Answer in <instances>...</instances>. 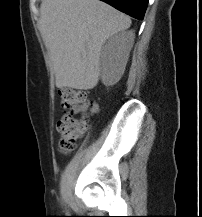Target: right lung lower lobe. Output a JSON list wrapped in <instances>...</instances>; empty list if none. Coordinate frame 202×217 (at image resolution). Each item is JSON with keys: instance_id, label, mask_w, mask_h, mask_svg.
Here are the masks:
<instances>
[{"instance_id": "obj_1", "label": "right lung lower lobe", "mask_w": 202, "mask_h": 217, "mask_svg": "<svg viewBox=\"0 0 202 217\" xmlns=\"http://www.w3.org/2000/svg\"><path fill=\"white\" fill-rule=\"evenodd\" d=\"M116 9L142 20L148 5V0H101Z\"/></svg>"}]
</instances>
